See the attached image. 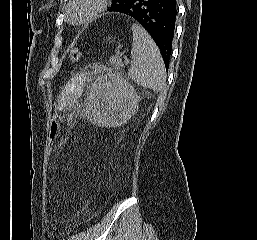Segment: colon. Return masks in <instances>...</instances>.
Masks as SVG:
<instances>
[{"instance_id": "1", "label": "colon", "mask_w": 257, "mask_h": 240, "mask_svg": "<svg viewBox=\"0 0 257 240\" xmlns=\"http://www.w3.org/2000/svg\"><path fill=\"white\" fill-rule=\"evenodd\" d=\"M81 55H82V53L79 48H73L70 51L69 57H70L71 61H78L81 58ZM60 126H61V124H60L59 117L54 116L50 123V126H49L48 135H49L50 140L57 139V137L59 136V132H60Z\"/></svg>"}]
</instances>
